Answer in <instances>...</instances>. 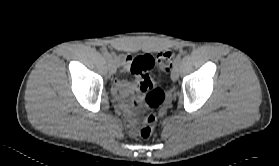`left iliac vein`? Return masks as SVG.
<instances>
[{
    "label": "left iliac vein",
    "instance_id": "obj_1",
    "mask_svg": "<svg viewBox=\"0 0 279 166\" xmlns=\"http://www.w3.org/2000/svg\"><path fill=\"white\" fill-rule=\"evenodd\" d=\"M178 77H179V67H178V65H176L173 67V70L171 72V79L173 81H176L178 79Z\"/></svg>",
    "mask_w": 279,
    "mask_h": 166
}]
</instances>
